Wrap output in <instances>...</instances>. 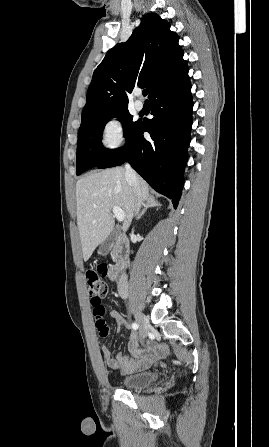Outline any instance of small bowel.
<instances>
[{"mask_svg": "<svg viewBox=\"0 0 269 447\" xmlns=\"http://www.w3.org/2000/svg\"><path fill=\"white\" fill-rule=\"evenodd\" d=\"M110 316L116 324L117 335L120 334L123 329L129 328L128 322L118 310L112 309L110 311ZM127 342L130 356L121 353H113L107 344L102 346V353L109 367L119 369L125 373L135 372L151 366L155 361L161 359L165 352V349L158 345L138 349L137 336L135 333H130Z\"/></svg>", "mask_w": 269, "mask_h": 447, "instance_id": "obj_1", "label": "small bowel"}]
</instances>
